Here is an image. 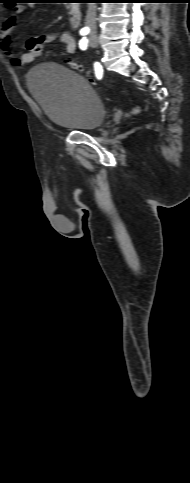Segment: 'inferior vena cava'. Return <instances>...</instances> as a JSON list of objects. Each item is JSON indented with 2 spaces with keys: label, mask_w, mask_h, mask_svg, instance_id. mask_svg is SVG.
Segmentation results:
<instances>
[{
  "label": "inferior vena cava",
  "mask_w": 190,
  "mask_h": 483,
  "mask_svg": "<svg viewBox=\"0 0 190 483\" xmlns=\"http://www.w3.org/2000/svg\"><path fill=\"white\" fill-rule=\"evenodd\" d=\"M96 3H88V10L85 18V24L91 28L92 31L96 30Z\"/></svg>",
  "instance_id": "obj_1"
}]
</instances>
